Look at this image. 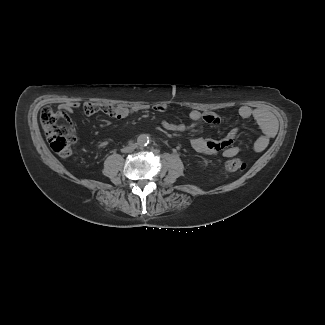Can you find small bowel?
<instances>
[{
  "instance_id": "c3829d8e",
  "label": "small bowel",
  "mask_w": 325,
  "mask_h": 325,
  "mask_svg": "<svg viewBox=\"0 0 325 325\" xmlns=\"http://www.w3.org/2000/svg\"><path fill=\"white\" fill-rule=\"evenodd\" d=\"M78 103L60 104L58 111L60 116L64 118V123L68 125H75L76 119L73 118L71 111L78 108ZM100 109L109 114L116 120H121L129 117L130 115L138 112L145 111L147 108L144 105L127 107L118 105L115 107H103L96 103H85L84 111L86 114H93ZM169 107L165 103H158L153 106V110L157 113H166ZM70 111V112H67ZM238 115L243 119H253L260 127L262 134L253 142L252 150L254 152H262L266 149L270 139L276 132V124L272 115L262 108H254L247 105H242L238 108ZM191 120L190 124L173 123L168 120L161 121V127L164 130L172 132H183L192 129L200 123L211 125H221L224 119L211 112H202L199 110H191L188 114ZM238 138V130L232 129L226 135L217 139H207L203 137H194L190 140L192 148L201 153L217 154L221 153L225 157H232L241 152V148L235 144Z\"/></svg>"
}]
</instances>
